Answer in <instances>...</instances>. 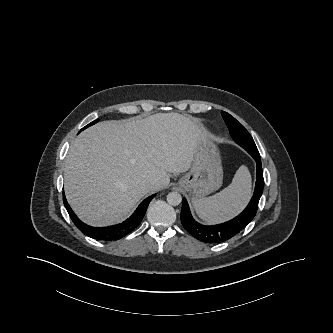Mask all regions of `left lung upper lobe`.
<instances>
[{
    "label": "left lung upper lobe",
    "mask_w": 333,
    "mask_h": 333,
    "mask_svg": "<svg viewBox=\"0 0 333 333\" xmlns=\"http://www.w3.org/2000/svg\"><path fill=\"white\" fill-rule=\"evenodd\" d=\"M221 114L227 127L229 128V132L233 140L242 146L246 151H258L253 138L245 127L227 112L222 111Z\"/></svg>",
    "instance_id": "1"
}]
</instances>
